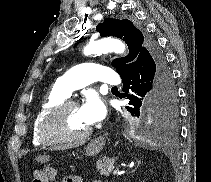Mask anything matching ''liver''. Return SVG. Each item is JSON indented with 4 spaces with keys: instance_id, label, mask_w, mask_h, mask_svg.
<instances>
[{
    "instance_id": "1",
    "label": "liver",
    "mask_w": 211,
    "mask_h": 182,
    "mask_svg": "<svg viewBox=\"0 0 211 182\" xmlns=\"http://www.w3.org/2000/svg\"><path fill=\"white\" fill-rule=\"evenodd\" d=\"M66 147H56L54 149H65Z\"/></svg>"
}]
</instances>
